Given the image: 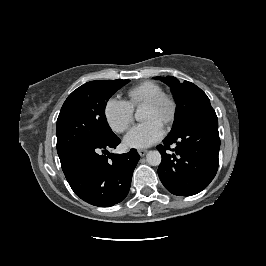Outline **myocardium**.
<instances>
[{
	"mask_svg": "<svg viewBox=\"0 0 266 266\" xmlns=\"http://www.w3.org/2000/svg\"><path fill=\"white\" fill-rule=\"evenodd\" d=\"M145 105L152 107L165 106L167 108V114L164 117L163 123L166 125L173 123L177 113V103L171 95L162 93L149 100Z\"/></svg>",
	"mask_w": 266,
	"mask_h": 266,
	"instance_id": "1",
	"label": "myocardium"
}]
</instances>
